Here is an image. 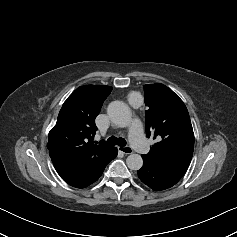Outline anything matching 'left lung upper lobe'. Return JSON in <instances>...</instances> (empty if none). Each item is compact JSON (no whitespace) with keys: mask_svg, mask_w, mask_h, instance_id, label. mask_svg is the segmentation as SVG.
<instances>
[{"mask_svg":"<svg viewBox=\"0 0 237 237\" xmlns=\"http://www.w3.org/2000/svg\"><path fill=\"white\" fill-rule=\"evenodd\" d=\"M147 137L157 142L147 155L149 160L185 173L192 159L194 134L183 101L167 86L144 85Z\"/></svg>","mask_w":237,"mask_h":237,"instance_id":"left-lung-upper-lobe-1","label":"left lung upper lobe"}]
</instances>
